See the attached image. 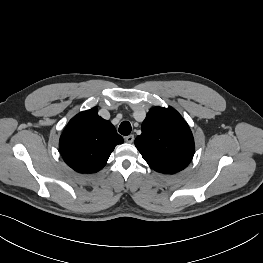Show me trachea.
<instances>
[{
  "mask_svg": "<svg viewBox=\"0 0 263 263\" xmlns=\"http://www.w3.org/2000/svg\"><path fill=\"white\" fill-rule=\"evenodd\" d=\"M132 127L128 121H123L119 126V133L127 136L131 133Z\"/></svg>",
  "mask_w": 263,
  "mask_h": 263,
  "instance_id": "obj_1",
  "label": "trachea"
}]
</instances>
